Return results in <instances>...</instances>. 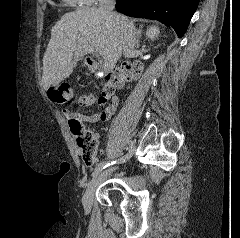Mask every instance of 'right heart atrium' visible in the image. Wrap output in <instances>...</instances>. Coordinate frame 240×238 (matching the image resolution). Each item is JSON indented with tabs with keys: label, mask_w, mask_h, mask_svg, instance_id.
<instances>
[{
	"label": "right heart atrium",
	"mask_w": 240,
	"mask_h": 238,
	"mask_svg": "<svg viewBox=\"0 0 240 238\" xmlns=\"http://www.w3.org/2000/svg\"><path fill=\"white\" fill-rule=\"evenodd\" d=\"M101 0H82L83 4L85 5H93Z\"/></svg>",
	"instance_id": "1"
}]
</instances>
